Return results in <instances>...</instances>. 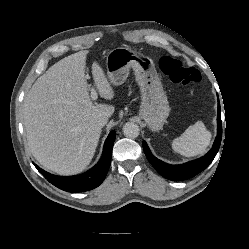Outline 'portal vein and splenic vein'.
<instances>
[{
    "mask_svg": "<svg viewBox=\"0 0 249 249\" xmlns=\"http://www.w3.org/2000/svg\"><path fill=\"white\" fill-rule=\"evenodd\" d=\"M97 92L94 88L91 89V99L94 101L97 99Z\"/></svg>",
    "mask_w": 249,
    "mask_h": 249,
    "instance_id": "obj_1",
    "label": "portal vein and splenic vein"
}]
</instances>
